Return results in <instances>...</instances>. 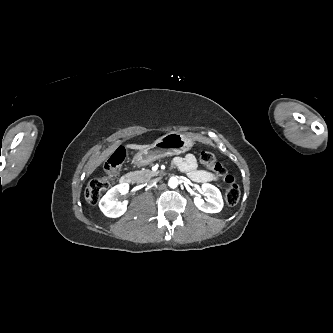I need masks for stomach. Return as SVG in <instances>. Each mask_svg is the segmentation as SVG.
<instances>
[{
	"instance_id": "0dacf381",
	"label": "stomach",
	"mask_w": 333,
	"mask_h": 333,
	"mask_svg": "<svg viewBox=\"0 0 333 333\" xmlns=\"http://www.w3.org/2000/svg\"><path fill=\"white\" fill-rule=\"evenodd\" d=\"M193 144V141L184 134L173 131L140 150L133 157L132 163L136 166H146L159 158L184 153L190 150Z\"/></svg>"
}]
</instances>
